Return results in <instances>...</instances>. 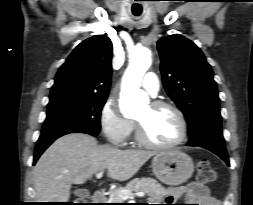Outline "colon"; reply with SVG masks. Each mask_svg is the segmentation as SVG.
Masks as SVG:
<instances>
[{
  "label": "colon",
  "instance_id": "obj_1",
  "mask_svg": "<svg viewBox=\"0 0 253 205\" xmlns=\"http://www.w3.org/2000/svg\"><path fill=\"white\" fill-rule=\"evenodd\" d=\"M198 181L205 185L216 179V172L208 160H201L198 163ZM75 205H90V198L84 197L76 200Z\"/></svg>",
  "mask_w": 253,
  "mask_h": 205
}]
</instances>
